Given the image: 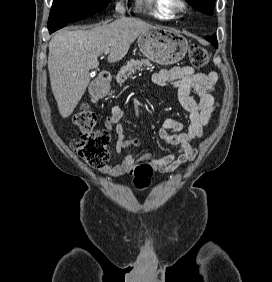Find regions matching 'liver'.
I'll list each match as a JSON object with an SVG mask.
<instances>
[{
    "mask_svg": "<svg viewBox=\"0 0 272 282\" xmlns=\"http://www.w3.org/2000/svg\"><path fill=\"white\" fill-rule=\"evenodd\" d=\"M153 28L145 21L121 17L89 30L59 31L49 42L48 71L52 92L62 118L69 117L90 81L98 56L110 49L108 61L121 60L142 33Z\"/></svg>",
    "mask_w": 272,
    "mask_h": 282,
    "instance_id": "liver-1",
    "label": "liver"
}]
</instances>
